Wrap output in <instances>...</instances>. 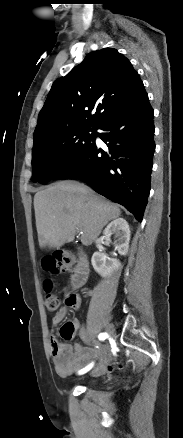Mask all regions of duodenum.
<instances>
[{"instance_id":"410a0bca","label":"duodenum","mask_w":183,"mask_h":438,"mask_svg":"<svg viewBox=\"0 0 183 438\" xmlns=\"http://www.w3.org/2000/svg\"><path fill=\"white\" fill-rule=\"evenodd\" d=\"M89 270L87 256L84 252H81L79 255V261L75 266L72 278H71V286L73 288H79L86 280L87 274Z\"/></svg>"}]
</instances>
